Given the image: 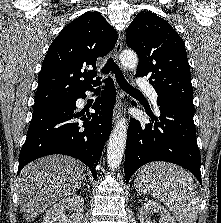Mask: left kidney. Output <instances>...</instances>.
I'll list each match as a JSON object with an SVG mask.
<instances>
[{
  "mask_svg": "<svg viewBox=\"0 0 221 223\" xmlns=\"http://www.w3.org/2000/svg\"><path fill=\"white\" fill-rule=\"evenodd\" d=\"M150 211H154L159 214V223H176L164 206L152 200H148L142 205L139 216L140 223H155L148 219Z\"/></svg>",
  "mask_w": 221,
  "mask_h": 223,
  "instance_id": "1",
  "label": "left kidney"
}]
</instances>
